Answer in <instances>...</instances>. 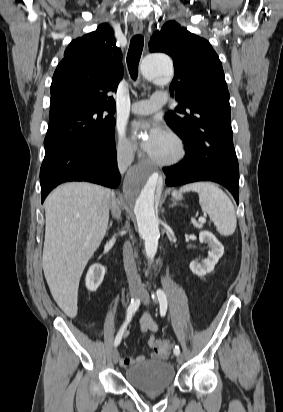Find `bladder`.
Masks as SVG:
<instances>
[{
	"label": "bladder",
	"mask_w": 283,
	"mask_h": 412,
	"mask_svg": "<svg viewBox=\"0 0 283 412\" xmlns=\"http://www.w3.org/2000/svg\"><path fill=\"white\" fill-rule=\"evenodd\" d=\"M126 382L142 392H161L170 388L176 380L173 365L166 360L147 361L125 370Z\"/></svg>",
	"instance_id": "1"
}]
</instances>
